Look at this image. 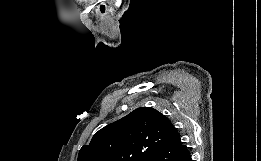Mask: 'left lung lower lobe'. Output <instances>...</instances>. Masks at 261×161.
<instances>
[{
	"label": "left lung lower lobe",
	"mask_w": 261,
	"mask_h": 161,
	"mask_svg": "<svg viewBox=\"0 0 261 161\" xmlns=\"http://www.w3.org/2000/svg\"><path fill=\"white\" fill-rule=\"evenodd\" d=\"M149 161H192V159L177 133L168 145L158 148Z\"/></svg>",
	"instance_id": "left-lung-lower-lobe-1"
}]
</instances>
